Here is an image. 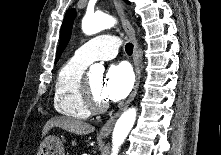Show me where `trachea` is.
<instances>
[{"label": "trachea", "instance_id": "3493384b", "mask_svg": "<svg viewBox=\"0 0 221 155\" xmlns=\"http://www.w3.org/2000/svg\"><path fill=\"white\" fill-rule=\"evenodd\" d=\"M125 50H126V53L128 55H132V52H133V44L132 43H127L125 45Z\"/></svg>", "mask_w": 221, "mask_h": 155}]
</instances>
